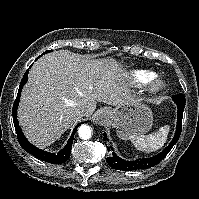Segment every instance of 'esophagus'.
<instances>
[{
    "label": "esophagus",
    "mask_w": 199,
    "mask_h": 199,
    "mask_svg": "<svg viewBox=\"0 0 199 199\" xmlns=\"http://www.w3.org/2000/svg\"><path fill=\"white\" fill-rule=\"evenodd\" d=\"M109 118L110 112L108 110L102 109L96 113L94 121L98 125H104L108 122Z\"/></svg>",
    "instance_id": "esophagus-1"
}]
</instances>
